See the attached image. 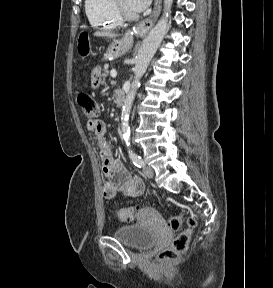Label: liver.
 <instances>
[{
	"label": "liver",
	"instance_id": "1",
	"mask_svg": "<svg viewBox=\"0 0 273 288\" xmlns=\"http://www.w3.org/2000/svg\"><path fill=\"white\" fill-rule=\"evenodd\" d=\"M93 35L97 36V37H107V38L117 37V34L112 33V32H108V31H96V32H94Z\"/></svg>",
	"mask_w": 273,
	"mask_h": 288
}]
</instances>
